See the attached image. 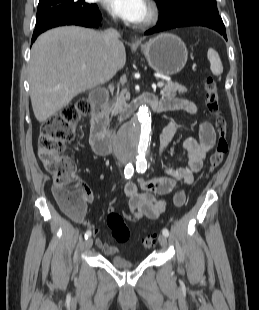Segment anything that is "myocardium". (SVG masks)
Here are the masks:
<instances>
[{
    "label": "myocardium",
    "instance_id": "obj_1",
    "mask_svg": "<svg viewBox=\"0 0 259 310\" xmlns=\"http://www.w3.org/2000/svg\"><path fill=\"white\" fill-rule=\"evenodd\" d=\"M148 16L147 18L138 24L141 29L151 28L156 25L160 19L161 11L158 4L153 0H148L147 3Z\"/></svg>",
    "mask_w": 259,
    "mask_h": 310
}]
</instances>
